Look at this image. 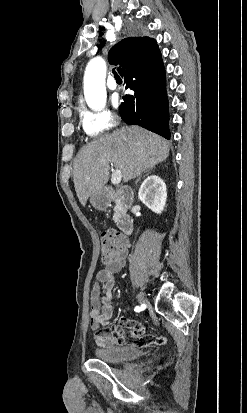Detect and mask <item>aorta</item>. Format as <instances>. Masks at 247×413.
Returning a JSON list of instances; mask_svg holds the SVG:
<instances>
[{
  "mask_svg": "<svg viewBox=\"0 0 247 413\" xmlns=\"http://www.w3.org/2000/svg\"><path fill=\"white\" fill-rule=\"evenodd\" d=\"M106 64L101 57L93 58L87 65L84 75V96L93 110H101L106 104Z\"/></svg>",
  "mask_w": 247,
  "mask_h": 413,
  "instance_id": "aorta-1",
  "label": "aorta"
}]
</instances>
